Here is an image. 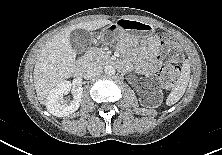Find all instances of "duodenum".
I'll return each mask as SVG.
<instances>
[{
	"instance_id": "duodenum-1",
	"label": "duodenum",
	"mask_w": 222,
	"mask_h": 155,
	"mask_svg": "<svg viewBox=\"0 0 222 155\" xmlns=\"http://www.w3.org/2000/svg\"><path fill=\"white\" fill-rule=\"evenodd\" d=\"M91 55L90 54H87L75 67V70H74V76L76 78H80L83 74V71H84V68L87 64V62L89 61Z\"/></svg>"
}]
</instances>
